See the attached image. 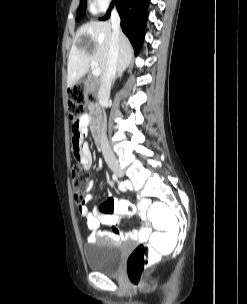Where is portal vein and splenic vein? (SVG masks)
Instances as JSON below:
<instances>
[{"label": "portal vein and splenic vein", "instance_id": "18ae733b", "mask_svg": "<svg viewBox=\"0 0 247 304\" xmlns=\"http://www.w3.org/2000/svg\"><path fill=\"white\" fill-rule=\"evenodd\" d=\"M91 68L93 69L92 70V74L95 75V76H99L101 74V71L98 67V63L95 62V61H92L91 62Z\"/></svg>", "mask_w": 247, "mask_h": 304}]
</instances>
